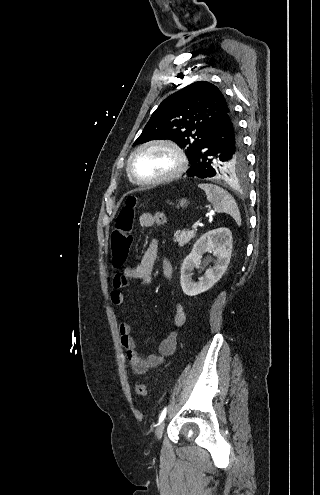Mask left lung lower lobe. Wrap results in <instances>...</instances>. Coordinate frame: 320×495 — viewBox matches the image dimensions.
Returning <instances> with one entry per match:
<instances>
[{
  "instance_id": "0a47b994",
  "label": "left lung lower lobe",
  "mask_w": 320,
  "mask_h": 495,
  "mask_svg": "<svg viewBox=\"0 0 320 495\" xmlns=\"http://www.w3.org/2000/svg\"><path fill=\"white\" fill-rule=\"evenodd\" d=\"M241 142L238 125L231 111L227 117L214 126L211 134L190 159L191 167L187 170L188 176L199 178L215 176L213 162L216 157L209 158L212 157V153L227 149L230 155L234 154L238 151Z\"/></svg>"
}]
</instances>
